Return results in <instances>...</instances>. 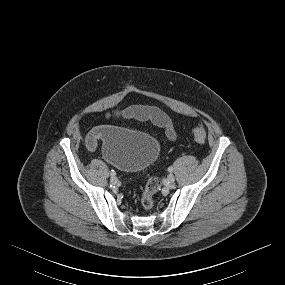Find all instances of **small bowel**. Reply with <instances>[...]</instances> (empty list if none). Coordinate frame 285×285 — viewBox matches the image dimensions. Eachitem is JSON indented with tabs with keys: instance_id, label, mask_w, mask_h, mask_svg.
I'll use <instances>...</instances> for the list:
<instances>
[{
	"instance_id": "small-bowel-1",
	"label": "small bowel",
	"mask_w": 285,
	"mask_h": 285,
	"mask_svg": "<svg viewBox=\"0 0 285 285\" xmlns=\"http://www.w3.org/2000/svg\"><path fill=\"white\" fill-rule=\"evenodd\" d=\"M113 121L124 119H136L140 121H150L154 125L164 129L167 138L175 141L177 134L169 116L161 109L150 105H134L123 110H117L107 115ZM105 126H97L91 130L85 139L88 150L94 151L101 140Z\"/></svg>"
}]
</instances>
